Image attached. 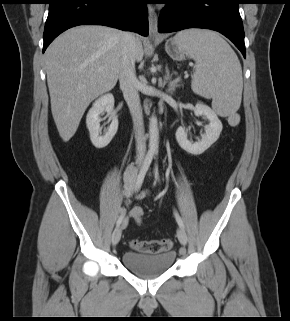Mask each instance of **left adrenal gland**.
I'll return each mask as SVG.
<instances>
[{"mask_svg":"<svg viewBox=\"0 0 290 321\" xmlns=\"http://www.w3.org/2000/svg\"><path fill=\"white\" fill-rule=\"evenodd\" d=\"M166 74H165V77H164V83H167L168 81H170L171 79V76H170V71L168 69V67L166 66ZM180 85L178 83H174V82H170L169 86H168V89H167V92L170 93V94H173V92L175 91V89L177 87H179Z\"/></svg>","mask_w":290,"mask_h":321,"instance_id":"obj_1","label":"left adrenal gland"}]
</instances>
